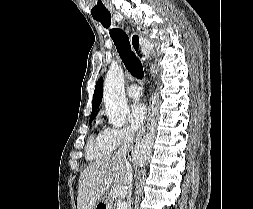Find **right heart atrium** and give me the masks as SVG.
<instances>
[{
  "label": "right heart atrium",
  "instance_id": "d8ad5b80",
  "mask_svg": "<svg viewBox=\"0 0 253 209\" xmlns=\"http://www.w3.org/2000/svg\"><path fill=\"white\" fill-rule=\"evenodd\" d=\"M104 136L112 149L129 143L132 140V134L126 128L122 127L109 126L105 128Z\"/></svg>",
  "mask_w": 253,
  "mask_h": 209
}]
</instances>
